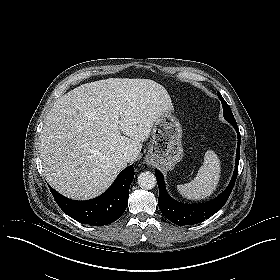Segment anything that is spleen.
Masks as SVG:
<instances>
[{"instance_id":"3e777b00","label":"spleen","mask_w":280,"mask_h":280,"mask_svg":"<svg viewBox=\"0 0 280 280\" xmlns=\"http://www.w3.org/2000/svg\"><path fill=\"white\" fill-rule=\"evenodd\" d=\"M220 174V160L214 151L208 150L196 177L189 183L177 185V189L189 200L205 199L216 190Z\"/></svg>"}]
</instances>
